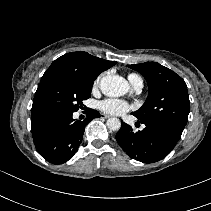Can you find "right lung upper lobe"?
Segmentation results:
<instances>
[{"label": "right lung upper lobe", "mask_w": 211, "mask_h": 211, "mask_svg": "<svg viewBox=\"0 0 211 211\" xmlns=\"http://www.w3.org/2000/svg\"><path fill=\"white\" fill-rule=\"evenodd\" d=\"M116 64L115 61H107L92 56L87 52L78 51L67 53L56 59L44 73L40 84L51 73L56 71L72 72L84 78L96 79L98 75ZM39 84V85H40ZM39 114L34 109V101L31 110V118Z\"/></svg>", "instance_id": "right-lung-upper-lobe-1"}]
</instances>
